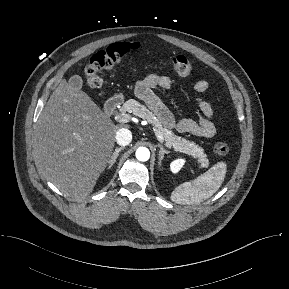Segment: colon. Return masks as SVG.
Masks as SVG:
<instances>
[{
    "label": "colon",
    "instance_id": "1",
    "mask_svg": "<svg viewBox=\"0 0 289 289\" xmlns=\"http://www.w3.org/2000/svg\"><path fill=\"white\" fill-rule=\"evenodd\" d=\"M139 47V43L118 42L95 53L84 70L87 86L93 90H99L102 86L99 74L122 63L131 51ZM169 63L172 70L181 77H187L192 73V64L184 55L172 56ZM213 150L217 155L223 156L229 153L230 148L226 142L219 140L214 144Z\"/></svg>",
    "mask_w": 289,
    "mask_h": 289
}]
</instances>
